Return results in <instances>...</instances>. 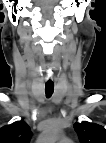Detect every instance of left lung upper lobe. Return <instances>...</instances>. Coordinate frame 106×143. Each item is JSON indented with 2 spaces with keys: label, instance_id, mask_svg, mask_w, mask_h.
I'll list each match as a JSON object with an SVG mask.
<instances>
[{
  "label": "left lung upper lobe",
  "instance_id": "left-lung-upper-lobe-1",
  "mask_svg": "<svg viewBox=\"0 0 106 143\" xmlns=\"http://www.w3.org/2000/svg\"><path fill=\"white\" fill-rule=\"evenodd\" d=\"M74 129L81 143H106V129L101 125L83 121L75 123Z\"/></svg>",
  "mask_w": 106,
  "mask_h": 143
}]
</instances>
